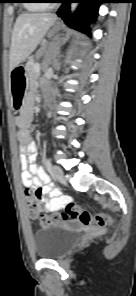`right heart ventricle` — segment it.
Returning a JSON list of instances; mask_svg holds the SVG:
<instances>
[{
	"instance_id": "e07e8e85",
	"label": "right heart ventricle",
	"mask_w": 136,
	"mask_h": 296,
	"mask_svg": "<svg viewBox=\"0 0 136 296\" xmlns=\"http://www.w3.org/2000/svg\"><path fill=\"white\" fill-rule=\"evenodd\" d=\"M42 0H29L28 3H26V8L29 10H41L46 8L45 3H41Z\"/></svg>"
}]
</instances>
